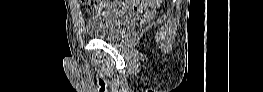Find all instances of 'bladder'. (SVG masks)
<instances>
[{"instance_id": "31cf9c89", "label": "bladder", "mask_w": 263, "mask_h": 92, "mask_svg": "<svg viewBox=\"0 0 263 92\" xmlns=\"http://www.w3.org/2000/svg\"><path fill=\"white\" fill-rule=\"evenodd\" d=\"M135 20V11L108 6L87 17L85 30L95 39L112 41L132 28Z\"/></svg>"}]
</instances>
